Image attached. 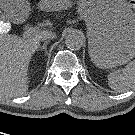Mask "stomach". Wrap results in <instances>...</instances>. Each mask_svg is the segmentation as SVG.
<instances>
[{
    "instance_id": "0dacf381",
    "label": "stomach",
    "mask_w": 135,
    "mask_h": 135,
    "mask_svg": "<svg viewBox=\"0 0 135 135\" xmlns=\"http://www.w3.org/2000/svg\"><path fill=\"white\" fill-rule=\"evenodd\" d=\"M49 10L64 0H48ZM13 15L27 16V0H1ZM78 12L86 22L89 54L100 68L123 65L135 57V14L127 0H78Z\"/></svg>"
}]
</instances>
